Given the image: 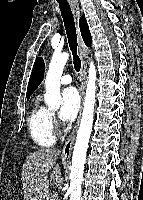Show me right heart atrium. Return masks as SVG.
Segmentation results:
<instances>
[{
  "label": "right heart atrium",
  "instance_id": "1",
  "mask_svg": "<svg viewBox=\"0 0 143 200\" xmlns=\"http://www.w3.org/2000/svg\"><path fill=\"white\" fill-rule=\"evenodd\" d=\"M50 121H51V125H52V127H53V125H54V123H55L54 114H53V113L50 114Z\"/></svg>",
  "mask_w": 143,
  "mask_h": 200
}]
</instances>
